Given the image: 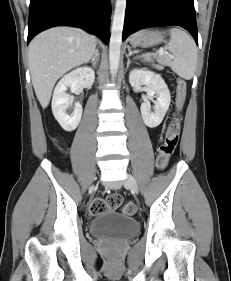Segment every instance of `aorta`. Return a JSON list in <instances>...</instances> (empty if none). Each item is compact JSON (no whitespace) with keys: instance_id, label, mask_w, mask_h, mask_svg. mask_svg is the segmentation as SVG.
<instances>
[{"instance_id":"1","label":"aorta","mask_w":231,"mask_h":281,"mask_svg":"<svg viewBox=\"0 0 231 281\" xmlns=\"http://www.w3.org/2000/svg\"><path fill=\"white\" fill-rule=\"evenodd\" d=\"M126 1L116 0L115 4L109 47V63L112 77L116 76L119 67Z\"/></svg>"}]
</instances>
